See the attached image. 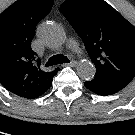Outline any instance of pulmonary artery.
Segmentation results:
<instances>
[{
  "instance_id": "1",
  "label": "pulmonary artery",
  "mask_w": 135,
  "mask_h": 135,
  "mask_svg": "<svg viewBox=\"0 0 135 135\" xmlns=\"http://www.w3.org/2000/svg\"><path fill=\"white\" fill-rule=\"evenodd\" d=\"M70 44L74 49H76V50L79 49V46H78V44H77V42L75 40H71Z\"/></svg>"
}]
</instances>
